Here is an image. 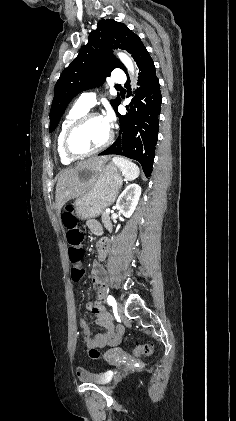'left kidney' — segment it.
Returning <instances> with one entry per match:
<instances>
[{"instance_id":"1","label":"left kidney","mask_w":236,"mask_h":421,"mask_svg":"<svg viewBox=\"0 0 236 421\" xmlns=\"http://www.w3.org/2000/svg\"><path fill=\"white\" fill-rule=\"evenodd\" d=\"M140 194L141 186H139V184H135V182H133V184H128L117 198V211H120L124 217L130 219L138 204Z\"/></svg>"}]
</instances>
